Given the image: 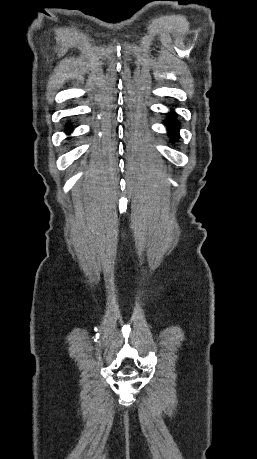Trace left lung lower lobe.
<instances>
[{
  "mask_svg": "<svg viewBox=\"0 0 257 459\" xmlns=\"http://www.w3.org/2000/svg\"><path fill=\"white\" fill-rule=\"evenodd\" d=\"M175 117H176V114H170L169 121L167 123L169 125V132L172 138L175 137L178 133V127H177L178 123Z\"/></svg>",
  "mask_w": 257,
  "mask_h": 459,
  "instance_id": "left-lung-lower-lobe-1",
  "label": "left lung lower lobe"
}]
</instances>
